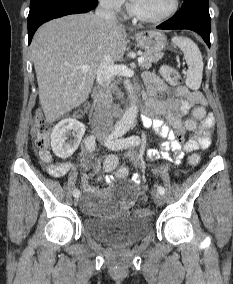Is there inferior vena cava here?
<instances>
[{
	"mask_svg": "<svg viewBox=\"0 0 233 284\" xmlns=\"http://www.w3.org/2000/svg\"><path fill=\"white\" fill-rule=\"evenodd\" d=\"M95 15L107 23L118 24L111 0H100ZM114 76V61L110 55H105L97 70V82L100 85L99 99L93 114V128L100 133H108L113 127L110 83Z\"/></svg>",
	"mask_w": 233,
	"mask_h": 284,
	"instance_id": "inferior-vena-cava-1",
	"label": "inferior vena cava"
}]
</instances>
